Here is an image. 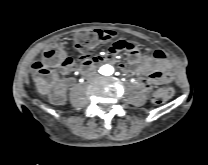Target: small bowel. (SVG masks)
<instances>
[{"label": "small bowel", "mask_w": 208, "mask_h": 165, "mask_svg": "<svg viewBox=\"0 0 208 165\" xmlns=\"http://www.w3.org/2000/svg\"><path fill=\"white\" fill-rule=\"evenodd\" d=\"M104 32L109 36L104 42L116 36V33L112 30H105ZM120 52H127L128 57L127 63L119 64L120 70L137 76L140 84L146 91H149L152 85L165 84L172 80V63L165 52L161 50H157L154 53L150 51L141 52L136 43L125 39L115 41L104 55L80 57L78 62L82 66L89 68L102 62H113L116 55ZM73 65L69 68L61 69V74L64 76L68 75ZM63 100L64 97L54 100V102L61 104Z\"/></svg>", "instance_id": "1"}]
</instances>
